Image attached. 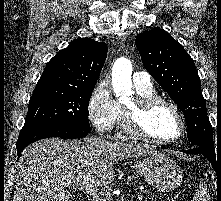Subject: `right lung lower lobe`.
Listing matches in <instances>:
<instances>
[{
    "instance_id": "1",
    "label": "right lung lower lobe",
    "mask_w": 221,
    "mask_h": 201,
    "mask_svg": "<svg viewBox=\"0 0 221 201\" xmlns=\"http://www.w3.org/2000/svg\"><path fill=\"white\" fill-rule=\"evenodd\" d=\"M86 132L88 131L65 125H38L28 129L23 128L17 141L18 158L26 146L37 140L49 137L77 139L85 137Z\"/></svg>"
}]
</instances>
